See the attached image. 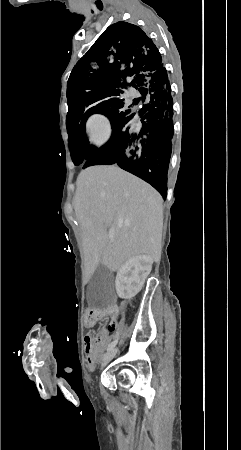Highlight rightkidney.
Wrapping results in <instances>:
<instances>
[{
	"label": "right kidney",
	"instance_id": "1",
	"mask_svg": "<svg viewBox=\"0 0 241 450\" xmlns=\"http://www.w3.org/2000/svg\"><path fill=\"white\" fill-rule=\"evenodd\" d=\"M153 258L150 256H131L120 266L116 280V292L119 298L131 300L143 288V284L152 270Z\"/></svg>",
	"mask_w": 241,
	"mask_h": 450
}]
</instances>
